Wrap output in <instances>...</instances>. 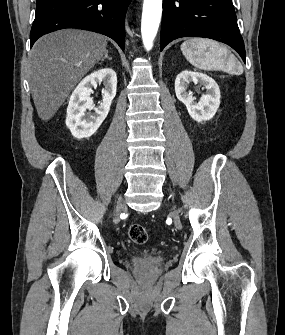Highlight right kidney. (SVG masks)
<instances>
[{"mask_svg": "<svg viewBox=\"0 0 285 335\" xmlns=\"http://www.w3.org/2000/svg\"><path fill=\"white\" fill-rule=\"evenodd\" d=\"M101 82L105 86L102 90L103 100L100 106L95 108L90 94L93 92L92 88ZM116 88L117 76L111 68L97 70L78 84L69 100L66 118V126L74 138L81 140V138H90L92 134H95L108 116L112 100L116 96ZM87 110H94V114Z\"/></svg>", "mask_w": 285, "mask_h": 335, "instance_id": "right-kidney-1", "label": "right kidney"}]
</instances>
